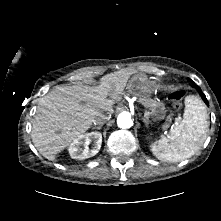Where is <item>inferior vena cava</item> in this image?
<instances>
[{
    "label": "inferior vena cava",
    "instance_id": "obj_1",
    "mask_svg": "<svg viewBox=\"0 0 221 221\" xmlns=\"http://www.w3.org/2000/svg\"><path fill=\"white\" fill-rule=\"evenodd\" d=\"M110 119V115L104 114V113H99L94 119L93 123L94 125H103L107 120Z\"/></svg>",
    "mask_w": 221,
    "mask_h": 221
}]
</instances>
